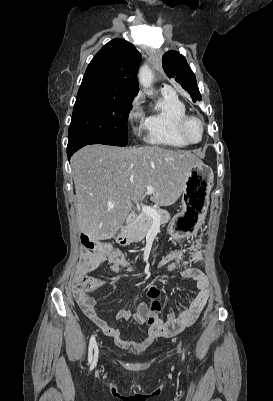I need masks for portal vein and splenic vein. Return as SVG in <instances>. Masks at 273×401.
Segmentation results:
<instances>
[{"label":"portal vein and splenic vein","instance_id":"portal-vein-and-splenic-vein-1","mask_svg":"<svg viewBox=\"0 0 273 401\" xmlns=\"http://www.w3.org/2000/svg\"><path fill=\"white\" fill-rule=\"evenodd\" d=\"M146 194H153V186H150V184L149 186H147ZM110 209H114V205H112ZM142 213H145V215H149V217H152L153 221H160V215H158L157 211H155V209H152V207H145V205H143Z\"/></svg>","mask_w":273,"mask_h":401}]
</instances>
